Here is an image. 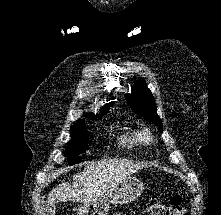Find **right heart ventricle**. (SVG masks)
Listing matches in <instances>:
<instances>
[{
  "label": "right heart ventricle",
  "instance_id": "obj_1",
  "mask_svg": "<svg viewBox=\"0 0 221 215\" xmlns=\"http://www.w3.org/2000/svg\"><path fill=\"white\" fill-rule=\"evenodd\" d=\"M135 142H147L148 141V134L146 132H140L133 136L132 138Z\"/></svg>",
  "mask_w": 221,
  "mask_h": 215
}]
</instances>
